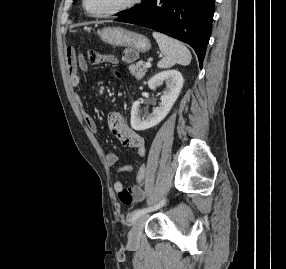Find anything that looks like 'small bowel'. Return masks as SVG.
Returning <instances> with one entry per match:
<instances>
[{
  "mask_svg": "<svg viewBox=\"0 0 286 269\" xmlns=\"http://www.w3.org/2000/svg\"><path fill=\"white\" fill-rule=\"evenodd\" d=\"M92 64H117L118 59L112 54H99L91 53L89 57ZM66 64L68 70L69 83L72 87H78L80 84V71H86L88 69V61L83 55H77L73 48H68L66 55ZM84 122L86 126L96 132L97 126L93 117L89 113L84 114ZM110 128L119 130L123 135L124 146L136 149L137 155L143 158L146 155V146L143 137L136 131L130 129L124 122L120 114L112 113L109 116ZM118 161L117 156L114 153H110L106 156V162L109 166L115 165ZM134 164L120 165L116 168V174H122L125 172H131L135 170ZM146 165L142 163L137 170V175L133 186L129 189H125L123 183L120 180H115L113 183L114 191L119 195L120 201L126 206H133L140 202L144 197V182L146 179ZM125 191L127 197L126 200L121 198V193Z\"/></svg>",
  "mask_w": 286,
  "mask_h": 269,
  "instance_id": "c3829d8e",
  "label": "small bowel"
}]
</instances>
